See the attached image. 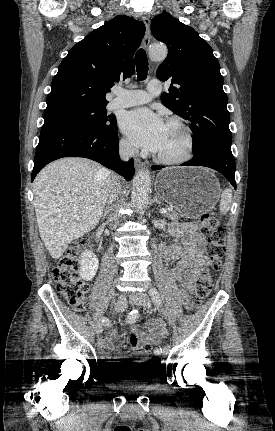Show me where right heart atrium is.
<instances>
[{"mask_svg": "<svg viewBox=\"0 0 275 431\" xmlns=\"http://www.w3.org/2000/svg\"><path fill=\"white\" fill-rule=\"evenodd\" d=\"M119 145L121 151L125 154H131L134 151L132 145L126 139H121Z\"/></svg>", "mask_w": 275, "mask_h": 431, "instance_id": "1", "label": "right heart atrium"}]
</instances>
